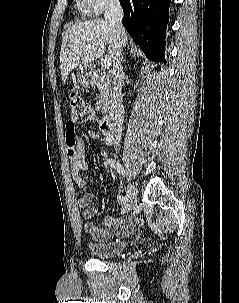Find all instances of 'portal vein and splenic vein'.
Wrapping results in <instances>:
<instances>
[{
    "instance_id": "obj_1",
    "label": "portal vein and splenic vein",
    "mask_w": 239,
    "mask_h": 303,
    "mask_svg": "<svg viewBox=\"0 0 239 303\" xmlns=\"http://www.w3.org/2000/svg\"><path fill=\"white\" fill-rule=\"evenodd\" d=\"M111 66V59L110 58H105L102 62V67L104 69H109Z\"/></svg>"
}]
</instances>
